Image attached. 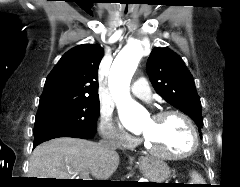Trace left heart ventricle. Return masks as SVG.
I'll use <instances>...</instances> for the list:
<instances>
[{
  "mask_svg": "<svg viewBox=\"0 0 240 187\" xmlns=\"http://www.w3.org/2000/svg\"><path fill=\"white\" fill-rule=\"evenodd\" d=\"M151 147L167 153H182L191 143L189 131L183 121L174 115L161 120H146L138 129Z\"/></svg>",
  "mask_w": 240,
  "mask_h": 187,
  "instance_id": "obj_1",
  "label": "left heart ventricle"
}]
</instances>
